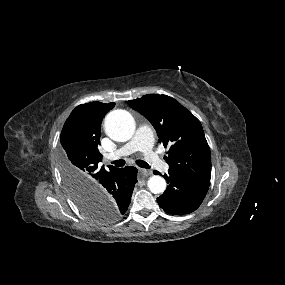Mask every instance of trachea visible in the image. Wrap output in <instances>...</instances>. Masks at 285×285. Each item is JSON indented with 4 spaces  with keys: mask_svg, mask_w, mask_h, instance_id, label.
I'll use <instances>...</instances> for the list:
<instances>
[{
    "mask_svg": "<svg viewBox=\"0 0 285 285\" xmlns=\"http://www.w3.org/2000/svg\"><path fill=\"white\" fill-rule=\"evenodd\" d=\"M116 167H123L125 165V160L119 159L113 162ZM136 164L141 168H149V164L143 160H136Z\"/></svg>",
    "mask_w": 285,
    "mask_h": 285,
    "instance_id": "obj_1",
    "label": "trachea"
}]
</instances>
